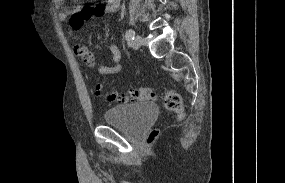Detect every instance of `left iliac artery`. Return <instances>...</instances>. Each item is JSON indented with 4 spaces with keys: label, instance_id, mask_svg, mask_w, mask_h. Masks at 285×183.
<instances>
[{
    "label": "left iliac artery",
    "instance_id": "left-iliac-artery-1",
    "mask_svg": "<svg viewBox=\"0 0 285 183\" xmlns=\"http://www.w3.org/2000/svg\"><path fill=\"white\" fill-rule=\"evenodd\" d=\"M135 32L133 29H128L125 34V38L128 42L134 40Z\"/></svg>",
    "mask_w": 285,
    "mask_h": 183
}]
</instances>
